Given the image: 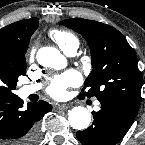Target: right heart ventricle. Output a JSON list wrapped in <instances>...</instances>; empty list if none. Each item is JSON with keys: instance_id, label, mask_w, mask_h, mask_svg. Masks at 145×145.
<instances>
[{"instance_id": "right-heart-ventricle-1", "label": "right heart ventricle", "mask_w": 145, "mask_h": 145, "mask_svg": "<svg viewBox=\"0 0 145 145\" xmlns=\"http://www.w3.org/2000/svg\"><path fill=\"white\" fill-rule=\"evenodd\" d=\"M50 35L57 42L60 48L69 45H79L78 38L69 31L55 29L50 32Z\"/></svg>"}]
</instances>
